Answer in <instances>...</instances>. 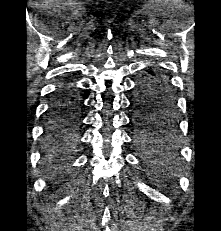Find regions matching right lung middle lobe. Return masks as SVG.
<instances>
[{
	"label": "right lung middle lobe",
	"mask_w": 221,
	"mask_h": 231,
	"mask_svg": "<svg viewBox=\"0 0 221 231\" xmlns=\"http://www.w3.org/2000/svg\"><path fill=\"white\" fill-rule=\"evenodd\" d=\"M80 104L53 101L45 133V144L51 149H60L75 140L80 122Z\"/></svg>",
	"instance_id": "obj_1"
}]
</instances>
